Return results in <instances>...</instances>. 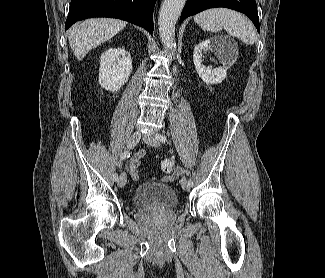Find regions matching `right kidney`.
<instances>
[{
  "instance_id": "obj_1",
  "label": "right kidney",
  "mask_w": 325,
  "mask_h": 278,
  "mask_svg": "<svg viewBox=\"0 0 325 278\" xmlns=\"http://www.w3.org/2000/svg\"><path fill=\"white\" fill-rule=\"evenodd\" d=\"M132 72L131 55L124 48H109L100 58L99 84L108 91H118Z\"/></svg>"
}]
</instances>
